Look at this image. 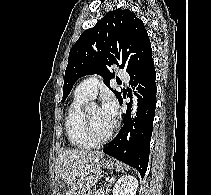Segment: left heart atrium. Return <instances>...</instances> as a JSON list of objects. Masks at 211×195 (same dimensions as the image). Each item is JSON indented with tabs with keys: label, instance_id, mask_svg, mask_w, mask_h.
Returning a JSON list of instances; mask_svg holds the SVG:
<instances>
[{
	"label": "left heart atrium",
	"instance_id": "left-heart-atrium-1",
	"mask_svg": "<svg viewBox=\"0 0 211 195\" xmlns=\"http://www.w3.org/2000/svg\"><path fill=\"white\" fill-rule=\"evenodd\" d=\"M101 113L109 121L114 122L117 114V103L111 95H106L100 107Z\"/></svg>",
	"mask_w": 211,
	"mask_h": 195
}]
</instances>
